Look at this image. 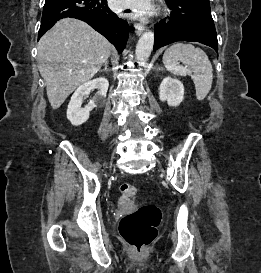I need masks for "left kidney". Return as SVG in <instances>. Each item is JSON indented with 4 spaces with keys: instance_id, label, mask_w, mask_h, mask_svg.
<instances>
[{
    "instance_id": "obj_1",
    "label": "left kidney",
    "mask_w": 261,
    "mask_h": 273,
    "mask_svg": "<svg viewBox=\"0 0 261 273\" xmlns=\"http://www.w3.org/2000/svg\"><path fill=\"white\" fill-rule=\"evenodd\" d=\"M160 101H166L169 106L176 107L184 99V86L178 79L165 77L159 87Z\"/></svg>"
}]
</instances>
